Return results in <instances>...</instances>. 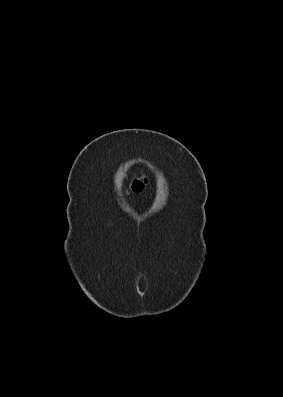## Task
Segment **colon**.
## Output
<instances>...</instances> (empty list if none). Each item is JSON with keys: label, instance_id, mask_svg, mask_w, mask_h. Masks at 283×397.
Listing matches in <instances>:
<instances>
[{"label": "colon", "instance_id": "colon-1", "mask_svg": "<svg viewBox=\"0 0 283 397\" xmlns=\"http://www.w3.org/2000/svg\"><path fill=\"white\" fill-rule=\"evenodd\" d=\"M146 183L147 178L144 175H137L129 182L127 189L130 192H138L143 189Z\"/></svg>", "mask_w": 283, "mask_h": 397}]
</instances>
